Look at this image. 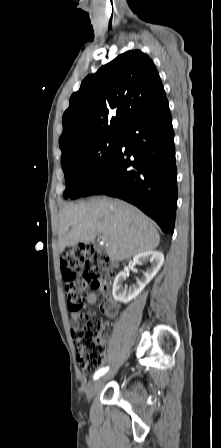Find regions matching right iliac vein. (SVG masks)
I'll use <instances>...</instances> for the list:
<instances>
[{"mask_svg":"<svg viewBox=\"0 0 221 448\" xmlns=\"http://www.w3.org/2000/svg\"><path fill=\"white\" fill-rule=\"evenodd\" d=\"M111 376L112 374H106L105 376L98 378L91 384L87 392L88 400H91L94 397V395L99 391L106 379L110 378Z\"/></svg>","mask_w":221,"mask_h":448,"instance_id":"63e3f726","label":"right iliac vein"}]
</instances>
